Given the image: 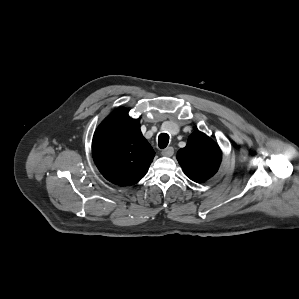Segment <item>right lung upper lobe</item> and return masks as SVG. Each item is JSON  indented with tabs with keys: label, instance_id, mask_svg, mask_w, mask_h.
<instances>
[{
	"label": "right lung upper lobe",
	"instance_id": "right-lung-upper-lobe-1",
	"mask_svg": "<svg viewBox=\"0 0 299 299\" xmlns=\"http://www.w3.org/2000/svg\"><path fill=\"white\" fill-rule=\"evenodd\" d=\"M92 155L108 181L128 186L145 176L155 152L143 137L139 120L130 118L124 108H119L96 129Z\"/></svg>",
	"mask_w": 299,
	"mask_h": 299
}]
</instances>
